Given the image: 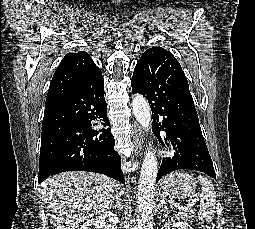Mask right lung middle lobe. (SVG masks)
<instances>
[{
	"label": "right lung middle lobe",
	"instance_id": "1",
	"mask_svg": "<svg viewBox=\"0 0 255 229\" xmlns=\"http://www.w3.org/2000/svg\"><path fill=\"white\" fill-rule=\"evenodd\" d=\"M64 133L63 122H58L47 130H42L40 167H50Z\"/></svg>",
	"mask_w": 255,
	"mask_h": 229
}]
</instances>
